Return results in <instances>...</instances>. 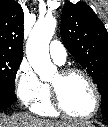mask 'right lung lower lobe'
<instances>
[{
    "mask_svg": "<svg viewBox=\"0 0 108 127\" xmlns=\"http://www.w3.org/2000/svg\"><path fill=\"white\" fill-rule=\"evenodd\" d=\"M15 101L16 96L14 91H9L0 87V110L11 106Z\"/></svg>",
    "mask_w": 108,
    "mask_h": 127,
    "instance_id": "1",
    "label": "right lung lower lobe"
}]
</instances>
